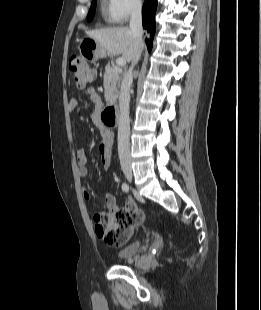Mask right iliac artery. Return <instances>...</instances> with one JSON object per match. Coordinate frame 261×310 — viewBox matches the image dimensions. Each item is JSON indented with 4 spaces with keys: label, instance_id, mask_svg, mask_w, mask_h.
Segmentation results:
<instances>
[{
    "label": "right iliac artery",
    "instance_id": "82829eb1",
    "mask_svg": "<svg viewBox=\"0 0 261 310\" xmlns=\"http://www.w3.org/2000/svg\"><path fill=\"white\" fill-rule=\"evenodd\" d=\"M122 190H123L124 192H128V191H129V186H128V184L123 183V184H122Z\"/></svg>",
    "mask_w": 261,
    "mask_h": 310
}]
</instances>
